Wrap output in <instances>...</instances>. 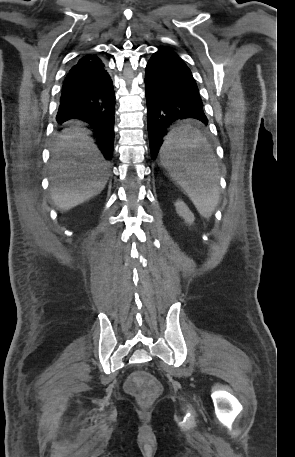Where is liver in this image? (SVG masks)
<instances>
[{
  "label": "liver",
  "instance_id": "1",
  "mask_svg": "<svg viewBox=\"0 0 295 457\" xmlns=\"http://www.w3.org/2000/svg\"><path fill=\"white\" fill-rule=\"evenodd\" d=\"M81 125L65 129V141L59 142L56 148L58 155L72 157L51 164V198L63 211L99 194L107 183L104 158L88 136L90 131Z\"/></svg>",
  "mask_w": 295,
  "mask_h": 457
}]
</instances>
